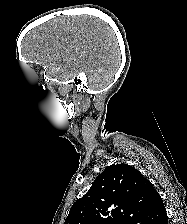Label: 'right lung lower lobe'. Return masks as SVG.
<instances>
[{
	"label": "right lung lower lobe",
	"instance_id": "1",
	"mask_svg": "<svg viewBox=\"0 0 187 224\" xmlns=\"http://www.w3.org/2000/svg\"><path fill=\"white\" fill-rule=\"evenodd\" d=\"M150 224H168V217H167L166 212L158 220H156Z\"/></svg>",
	"mask_w": 187,
	"mask_h": 224
}]
</instances>
